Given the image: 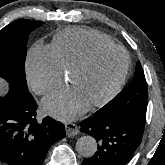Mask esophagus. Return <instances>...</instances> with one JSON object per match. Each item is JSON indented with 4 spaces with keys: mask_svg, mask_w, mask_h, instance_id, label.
Wrapping results in <instances>:
<instances>
[{
    "mask_svg": "<svg viewBox=\"0 0 165 165\" xmlns=\"http://www.w3.org/2000/svg\"><path fill=\"white\" fill-rule=\"evenodd\" d=\"M66 134L72 137L78 134V126L72 122L65 123Z\"/></svg>",
    "mask_w": 165,
    "mask_h": 165,
    "instance_id": "esophagus-1",
    "label": "esophagus"
}]
</instances>
